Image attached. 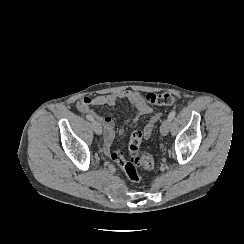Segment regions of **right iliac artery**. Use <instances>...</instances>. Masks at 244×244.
<instances>
[{"label": "right iliac artery", "mask_w": 244, "mask_h": 244, "mask_svg": "<svg viewBox=\"0 0 244 244\" xmlns=\"http://www.w3.org/2000/svg\"><path fill=\"white\" fill-rule=\"evenodd\" d=\"M86 118H87L89 121H94V118H93V116H91V115H86Z\"/></svg>", "instance_id": "82829eb1"}]
</instances>
